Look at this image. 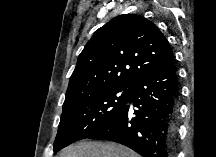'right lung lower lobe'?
<instances>
[{"label":"right lung lower lobe","mask_w":216,"mask_h":157,"mask_svg":"<svg viewBox=\"0 0 216 157\" xmlns=\"http://www.w3.org/2000/svg\"><path fill=\"white\" fill-rule=\"evenodd\" d=\"M179 95L172 54L134 82L124 108L88 138L121 143L142 157H173L177 143Z\"/></svg>","instance_id":"1"}]
</instances>
